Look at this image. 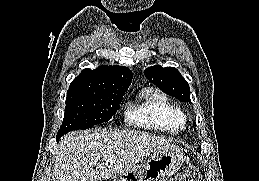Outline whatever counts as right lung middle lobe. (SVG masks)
I'll return each mask as SVG.
<instances>
[{"label": "right lung middle lobe", "instance_id": "1", "mask_svg": "<svg viewBox=\"0 0 259 181\" xmlns=\"http://www.w3.org/2000/svg\"><path fill=\"white\" fill-rule=\"evenodd\" d=\"M123 96L67 93L64 119L57 136L107 122L116 113Z\"/></svg>", "mask_w": 259, "mask_h": 181}]
</instances>
